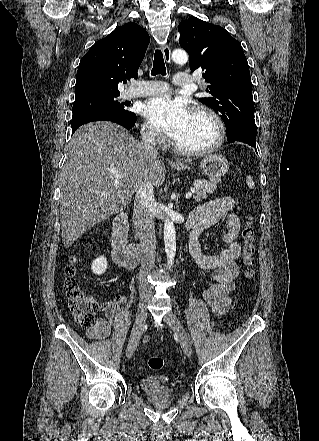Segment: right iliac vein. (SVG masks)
<instances>
[{
  "mask_svg": "<svg viewBox=\"0 0 319 441\" xmlns=\"http://www.w3.org/2000/svg\"><path fill=\"white\" fill-rule=\"evenodd\" d=\"M147 305L148 302L147 301H143L141 302V304L139 305V308L137 310L136 313V318H135V322L133 325V329H132V333L130 336V340L126 349V356L128 358L132 357L136 347L139 343L141 334H142V330L146 321V317H147Z\"/></svg>",
  "mask_w": 319,
  "mask_h": 441,
  "instance_id": "1",
  "label": "right iliac vein"
}]
</instances>
